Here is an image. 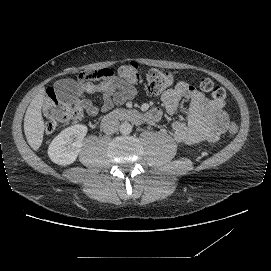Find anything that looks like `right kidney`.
I'll use <instances>...</instances> for the list:
<instances>
[{
  "instance_id": "right-kidney-1",
  "label": "right kidney",
  "mask_w": 271,
  "mask_h": 271,
  "mask_svg": "<svg viewBox=\"0 0 271 271\" xmlns=\"http://www.w3.org/2000/svg\"><path fill=\"white\" fill-rule=\"evenodd\" d=\"M87 133V127L76 124L61 131L48 148L50 159L59 165L73 163L82 147V141Z\"/></svg>"
}]
</instances>
